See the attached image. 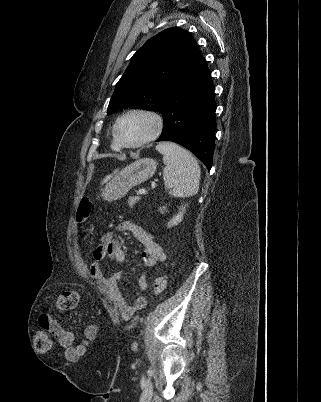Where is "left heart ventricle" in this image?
<instances>
[{
    "label": "left heart ventricle",
    "mask_w": 321,
    "mask_h": 402,
    "mask_svg": "<svg viewBox=\"0 0 321 402\" xmlns=\"http://www.w3.org/2000/svg\"><path fill=\"white\" fill-rule=\"evenodd\" d=\"M153 128V122L144 115L134 114L120 122L119 136L127 144H133L146 137Z\"/></svg>",
    "instance_id": "b2bd125f"
}]
</instances>
